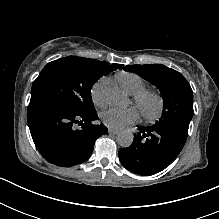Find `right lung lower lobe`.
Listing matches in <instances>:
<instances>
[{
  "label": "right lung lower lobe",
  "mask_w": 219,
  "mask_h": 219,
  "mask_svg": "<svg viewBox=\"0 0 219 219\" xmlns=\"http://www.w3.org/2000/svg\"><path fill=\"white\" fill-rule=\"evenodd\" d=\"M27 120L38 151L48 162L62 167L86 161L95 140L108 132L103 124L94 123L96 111L76 112L48 98H31Z\"/></svg>",
  "instance_id": "obj_1"
}]
</instances>
